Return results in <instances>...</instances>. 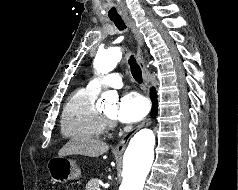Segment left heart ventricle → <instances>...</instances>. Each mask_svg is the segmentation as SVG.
I'll return each instance as SVG.
<instances>
[{"instance_id":"b2bd125f","label":"left heart ventricle","mask_w":238,"mask_h":190,"mask_svg":"<svg viewBox=\"0 0 238 190\" xmlns=\"http://www.w3.org/2000/svg\"><path fill=\"white\" fill-rule=\"evenodd\" d=\"M116 112H117V105H111L109 107H107L103 113H105L106 115H108L109 117L115 118L116 117Z\"/></svg>"}]
</instances>
